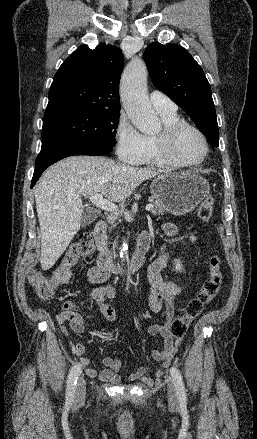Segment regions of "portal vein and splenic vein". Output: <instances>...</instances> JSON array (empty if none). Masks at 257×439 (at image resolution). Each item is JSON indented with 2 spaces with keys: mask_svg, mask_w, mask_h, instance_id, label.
Here are the masks:
<instances>
[{
  "mask_svg": "<svg viewBox=\"0 0 257 439\" xmlns=\"http://www.w3.org/2000/svg\"><path fill=\"white\" fill-rule=\"evenodd\" d=\"M70 197L73 198H80L79 195L72 194ZM90 201L96 205L98 208H101L103 210H106L108 212H114L117 211V206L110 202L109 200L103 199V196L101 194H93L89 197ZM154 208V205L152 203H149L146 205L145 209L147 211H151Z\"/></svg>",
  "mask_w": 257,
  "mask_h": 439,
  "instance_id": "18ae733b",
  "label": "portal vein and splenic vein"
}]
</instances>
